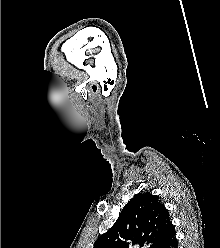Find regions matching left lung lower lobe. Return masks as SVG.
Returning <instances> with one entry per match:
<instances>
[{
  "label": "left lung lower lobe",
  "mask_w": 220,
  "mask_h": 248,
  "mask_svg": "<svg viewBox=\"0 0 220 248\" xmlns=\"http://www.w3.org/2000/svg\"><path fill=\"white\" fill-rule=\"evenodd\" d=\"M175 234H176L175 228L174 226H171L165 238L163 239L161 244L158 246V248H178V242L175 237Z\"/></svg>",
  "instance_id": "0a47b994"
}]
</instances>
